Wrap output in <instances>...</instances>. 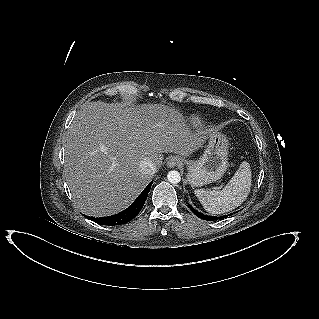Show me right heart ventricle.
Wrapping results in <instances>:
<instances>
[{
	"label": "right heart ventricle",
	"mask_w": 319,
	"mask_h": 319,
	"mask_svg": "<svg viewBox=\"0 0 319 319\" xmlns=\"http://www.w3.org/2000/svg\"><path fill=\"white\" fill-rule=\"evenodd\" d=\"M195 121L199 123V120H198V118H195Z\"/></svg>",
	"instance_id": "obj_1"
}]
</instances>
